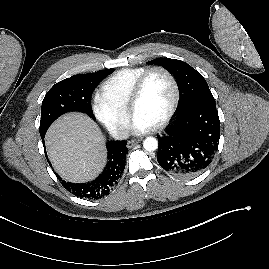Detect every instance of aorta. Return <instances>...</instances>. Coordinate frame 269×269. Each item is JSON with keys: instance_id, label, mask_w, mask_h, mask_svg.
Here are the masks:
<instances>
[{"instance_id": "aorta-1", "label": "aorta", "mask_w": 269, "mask_h": 269, "mask_svg": "<svg viewBox=\"0 0 269 269\" xmlns=\"http://www.w3.org/2000/svg\"><path fill=\"white\" fill-rule=\"evenodd\" d=\"M143 147L147 151H155L158 148V141L154 137H147L143 141Z\"/></svg>"}]
</instances>
